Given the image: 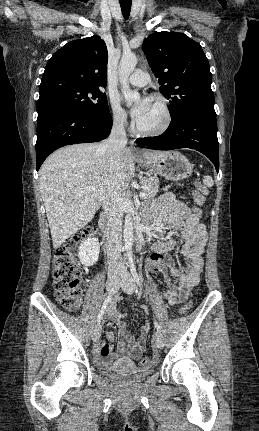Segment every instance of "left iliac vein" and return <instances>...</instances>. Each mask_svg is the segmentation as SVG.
Returning <instances> with one entry per match:
<instances>
[{
    "label": "left iliac vein",
    "mask_w": 259,
    "mask_h": 431,
    "mask_svg": "<svg viewBox=\"0 0 259 431\" xmlns=\"http://www.w3.org/2000/svg\"><path fill=\"white\" fill-rule=\"evenodd\" d=\"M121 288L127 294H132L136 289L135 280L126 267L121 270ZM154 342L158 348L164 347V338L160 331H156L154 334Z\"/></svg>",
    "instance_id": "left-iliac-vein-1"
}]
</instances>
